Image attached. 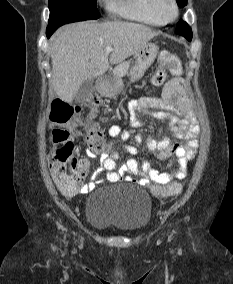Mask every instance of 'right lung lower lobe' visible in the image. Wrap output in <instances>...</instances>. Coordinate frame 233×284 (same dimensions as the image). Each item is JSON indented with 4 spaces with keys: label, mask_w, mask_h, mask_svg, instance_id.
Returning a JSON list of instances; mask_svg holds the SVG:
<instances>
[{
    "label": "right lung lower lobe",
    "mask_w": 233,
    "mask_h": 284,
    "mask_svg": "<svg viewBox=\"0 0 233 284\" xmlns=\"http://www.w3.org/2000/svg\"><path fill=\"white\" fill-rule=\"evenodd\" d=\"M53 32L52 31H46L47 37L49 38Z\"/></svg>",
    "instance_id": "1"
}]
</instances>
